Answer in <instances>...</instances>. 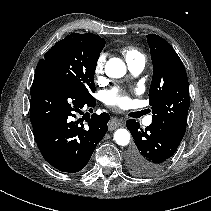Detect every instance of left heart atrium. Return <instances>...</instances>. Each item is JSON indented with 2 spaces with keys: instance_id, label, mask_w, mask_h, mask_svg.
I'll use <instances>...</instances> for the list:
<instances>
[{
  "instance_id": "1",
  "label": "left heart atrium",
  "mask_w": 211,
  "mask_h": 211,
  "mask_svg": "<svg viewBox=\"0 0 211 211\" xmlns=\"http://www.w3.org/2000/svg\"><path fill=\"white\" fill-rule=\"evenodd\" d=\"M105 102L110 106L126 108L130 103V98L119 88H113L105 93Z\"/></svg>"
}]
</instances>
